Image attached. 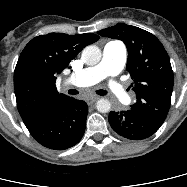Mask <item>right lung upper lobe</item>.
Wrapping results in <instances>:
<instances>
[{
    "label": "right lung upper lobe",
    "instance_id": "cb5924a9",
    "mask_svg": "<svg viewBox=\"0 0 187 187\" xmlns=\"http://www.w3.org/2000/svg\"><path fill=\"white\" fill-rule=\"evenodd\" d=\"M98 39L92 33H49L33 38L25 46L15 67L14 89L17 108L26 126L69 98L58 93L56 76L85 46Z\"/></svg>",
    "mask_w": 187,
    "mask_h": 187
}]
</instances>
